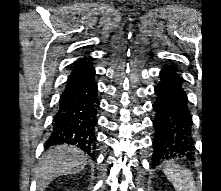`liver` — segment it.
I'll use <instances>...</instances> for the list:
<instances>
[{"instance_id":"liver-1","label":"liver","mask_w":221,"mask_h":191,"mask_svg":"<svg viewBox=\"0 0 221 191\" xmlns=\"http://www.w3.org/2000/svg\"><path fill=\"white\" fill-rule=\"evenodd\" d=\"M87 160V155L75 146L64 144L51 148L36 172L39 191L56 177L80 172Z\"/></svg>"}]
</instances>
